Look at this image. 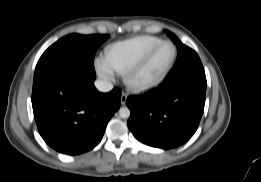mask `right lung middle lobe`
I'll list each match as a JSON object with an SVG mask.
<instances>
[{"mask_svg":"<svg viewBox=\"0 0 261 182\" xmlns=\"http://www.w3.org/2000/svg\"><path fill=\"white\" fill-rule=\"evenodd\" d=\"M108 38V35H67L51 45L40 57L36 68L59 57L74 55L92 65L96 49Z\"/></svg>","mask_w":261,"mask_h":182,"instance_id":"obj_1","label":"right lung middle lobe"}]
</instances>
